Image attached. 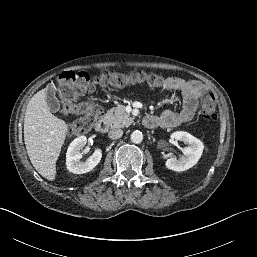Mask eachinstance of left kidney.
<instances>
[{
    "mask_svg": "<svg viewBox=\"0 0 257 257\" xmlns=\"http://www.w3.org/2000/svg\"><path fill=\"white\" fill-rule=\"evenodd\" d=\"M171 138L182 141L188 146L184 148V155L182 157H180L179 159H167L165 162V166L170 170L182 172L196 165L203 153V143L190 133L184 131H177L172 133Z\"/></svg>",
    "mask_w": 257,
    "mask_h": 257,
    "instance_id": "5707ae66",
    "label": "left kidney"
}]
</instances>
